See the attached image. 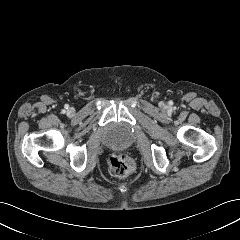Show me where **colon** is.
<instances>
[{
  "instance_id": "5ec220e1",
  "label": "colon",
  "mask_w": 240,
  "mask_h": 240,
  "mask_svg": "<svg viewBox=\"0 0 240 240\" xmlns=\"http://www.w3.org/2000/svg\"><path fill=\"white\" fill-rule=\"evenodd\" d=\"M111 175L124 178L131 175L135 169V161L126 153H112L108 161Z\"/></svg>"
}]
</instances>
